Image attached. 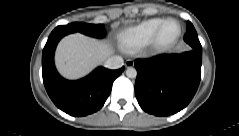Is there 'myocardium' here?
I'll list each match as a JSON object with an SVG mask.
<instances>
[{"mask_svg":"<svg viewBox=\"0 0 239 136\" xmlns=\"http://www.w3.org/2000/svg\"><path fill=\"white\" fill-rule=\"evenodd\" d=\"M176 24L179 28L178 30V34H180V27L178 25V23L176 21H173V20H169V21H165L159 28L158 30L156 31V33L154 34V36L151 38L152 39V44L153 46L157 47V48H162V49H167L169 48L168 45H164L163 41L161 40V37H162V33L164 31V29L169 25V24Z\"/></svg>","mask_w":239,"mask_h":136,"instance_id":"myocardium-1","label":"myocardium"}]
</instances>
